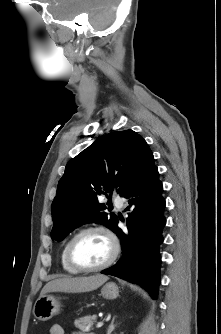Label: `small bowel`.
<instances>
[{
  "label": "small bowel",
  "mask_w": 221,
  "mask_h": 334,
  "mask_svg": "<svg viewBox=\"0 0 221 334\" xmlns=\"http://www.w3.org/2000/svg\"><path fill=\"white\" fill-rule=\"evenodd\" d=\"M49 334H65V331L61 325L54 324L50 327Z\"/></svg>",
  "instance_id": "c3829d8e"
}]
</instances>
